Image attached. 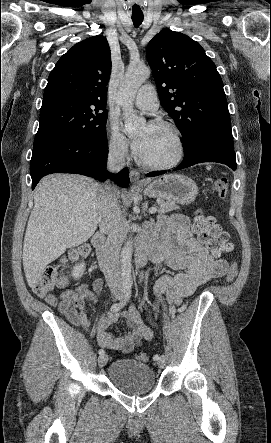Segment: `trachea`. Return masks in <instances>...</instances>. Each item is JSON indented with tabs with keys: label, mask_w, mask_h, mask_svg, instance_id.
Segmentation results:
<instances>
[{
	"label": "trachea",
	"mask_w": 271,
	"mask_h": 443,
	"mask_svg": "<svg viewBox=\"0 0 271 443\" xmlns=\"http://www.w3.org/2000/svg\"><path fill=\"white\" fill-rule=\"evenodd\" d=\"M128 3L131 7L132 20L135 27L141 25L144 19V11L141 6L140 0H128Z\"/></svg>",
	"instance_id": "trachea-1"
}]
</instances>
